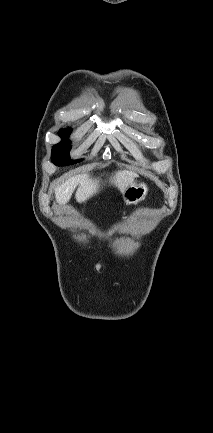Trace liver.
<instances>
[{
    "mask_svg": "<svg viewBox=\"0 0 213 433\" xmlns=\"http://www.w3.org/2000/svg\"><path fill=\"white\" fill-rule=\"evenodd\" d=\"M136 176L137 174L131 171H117L111 175L109 183L123 192L134 181ZM101 183L103 184L100 178L92 177L87 173L72 177L56 187V200L59 204H66L78 186L75 194L76 200L79 203L85 202L99 192Z\"/></svg>",
    "mask_w": 213,
    "mask_h": 433,
    "instance_id": "obj_1",
    "label": "liver"
}]
</instances>
